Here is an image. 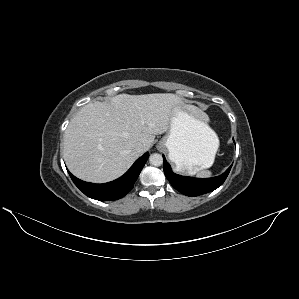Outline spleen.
<instances>
[{"mask_svg":"<svg viewBox=\"0 0 299 299\" xmlns=\"http://www.w3.org/2000/svg\"><path fill=\"white\" fill-rule=\"evenodd\" d=\"M211 133L213 134L214 132L211 131ZM188 172L190 174H197V176L201 177V178H207V177H210L212 175V173L210 171H208V170H202V169L201 170H197V171L190 169Z\"/></svg>","mask_w":299,"mask_h":299,"instance_id":"obj_1","label":"spleen"}]
</instances>
